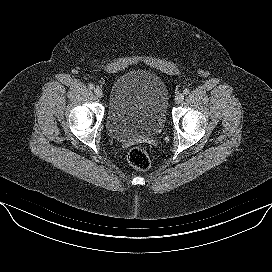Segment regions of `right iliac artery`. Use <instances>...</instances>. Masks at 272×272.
<instances>
[{
    "label": "right iliac artery",
    "instance_id": "1",
    "mask_svg": "<svg viewBox=\"0 0 272 272\" xmlns=\"http://www.w3.org/2000/svg\"><path fill=\"white\" fill-rule=\"evenodd\" d=\"M88 88L91 89V90H93L95 88V86H94V84H89Z\"/></svg>",
    "mask_w": 272,
    "mask_h": 272
}]
</instances>
